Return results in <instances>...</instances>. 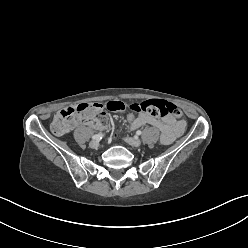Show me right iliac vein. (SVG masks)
Instances as JSON below:
<instances>
[{
    "label": "right iliac vein",
    "instance_id": "63e3f726",
    "mask_svg": "<svg viewBox=\"0 0 248 248\" xmlns=\"http://www.w3.org/2000/svg\"><path fill=\"white\" fill-rule=\"evenodd\" d=\"M89 146L93 149H96L98 148L99 146V141L98 140H92L90 143H89Z\"/></svg>",
    "mask_w": 248,
    "mask_h": 248
}]
</instances>
